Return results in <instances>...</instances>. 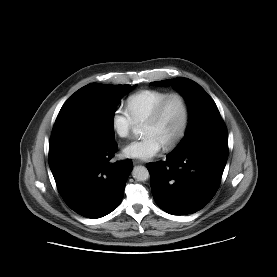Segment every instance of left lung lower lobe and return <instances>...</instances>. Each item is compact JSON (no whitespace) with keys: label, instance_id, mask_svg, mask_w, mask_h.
Returning a JSON list of instances; mask_svg holds the SVG:
<instances>
[{"label":"left lung lower lobe","instance_id":"0a47b994","mask_svg":"<svg viewBox=\"0 0 277 277\" xmlns=\"http://www.w3.org/2000/svg\"><path fill=\"white\" fill-rule=\"evenodd\" d=\"M228 158L225 126L202 132L166 161L148 163L157 205L173 215L194 213L215 195Z\"/></svg>","mask_w":277,"mask_h":277}]
</instances>
